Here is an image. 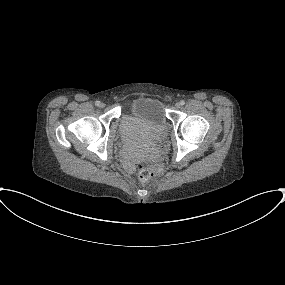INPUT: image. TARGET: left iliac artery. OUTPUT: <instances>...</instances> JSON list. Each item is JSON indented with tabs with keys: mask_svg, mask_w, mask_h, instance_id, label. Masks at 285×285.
I'll use <instances>...</instances> for the list:
<instances>
[{
	"mask_svg": "<svg viewBox=\"0 0 285 285\" xmlns=\"http://www.w3.org/2000/svg\"><path fill=\"white\" fill-rule=\"evenodd\" d=\"M180 103H181V105H184V104H185V101H184V100H181Z\"/></svg>",
	"mask_w": 285,
	"mask_h": 285,
	"instance_id": "1",
	"label": "left iliac artery"
}]
</instances>
